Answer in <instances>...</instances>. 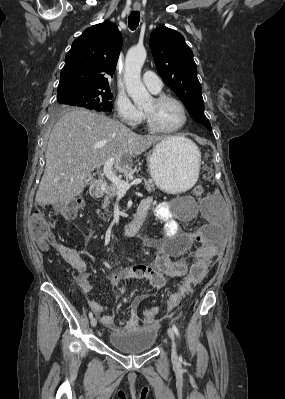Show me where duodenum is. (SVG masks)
<instances>
[{
	"label": "duodenum",
	"mask_w": 285,
	"mask_h": 399,
	"mask_svg": "<svg viewBox=\"0 0 285 399\" xmlns=\"http://www.w3.org/2000/svg\"><path fill=\"white\" fill-rule=\"evenodd\" d=\"M90 193L94 198H100L105 193V185L102 183L93 184L90 188ZM147 216L146 206H139L134 218L126 225L120 234L112 237L113 242H118L122 239H130L137 237L144 225Z\"/></svg>",
	"instance_id": "410a0bca"
}]
</instances>
